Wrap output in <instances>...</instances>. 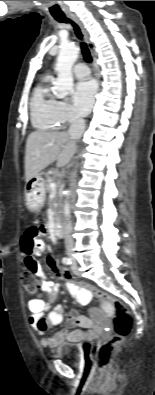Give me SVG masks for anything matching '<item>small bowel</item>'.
Here are the masks:
<instances>
[{
    "mask_svg": "<svg viewBox=\"0 0 155 395\" xmlns=\"http://www.w3.org/2000/svg\"><path fill=\"white\" fill-rule=\"evenodd\" d=\"M44 233L40 227H33L29 229L21 238V251L25 256V259L29 256L32 259V271L40 278L41 288L47 293V301L39 298L31 299L28 302V309L31 312L29 317V324L36 331L37 335L41 337V344L45 348H54L57 344L69 341V342H81L87 339L95 337L101 330V324L104 323L103 314L99 311H94L93 314L97 316L100 325L94 327L93 320L87 316L79 315L73 311L69 315L66 321V327L52 337H46V332L50 327L58 326L63 321V307L56 306L50 311L47 317L44 316V312L48 310L50 303L54 302L60 286L54 284L44 274L40 264L32 257L33 254H39L44 244L41 240V235ZM24 259V260H25ZM64 288L69 291L79 303L87 304L91 301L93 295L91 292H87L86 288H80L79 285L66 283ZM100 311H104L106 315L111 313L112 306L104 301V304H100Z\"/></svg>",
    "mask_w": 155,
    "mask_h": 395,
    "instance_id": "c3829d8e",
    "label": "small bowel"
}]
</instances>
